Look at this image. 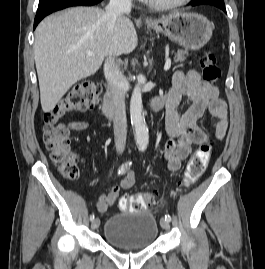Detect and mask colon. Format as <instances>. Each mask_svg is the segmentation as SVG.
<instances>
[{
	"label": "colon",
	"mask_w": 265,
	"mask_h": 269,
	"mask_svg": "<svg viewBox=\"0 0 265 269\" xmlns=\"http://www.w3.org/2000/svg\"><path fill=\"white\" fill-rule=\"evenodd\" d=\"M203 79L216 84L221 77V70L216 57L205 53L200 60ZM100 88L96 82H87L74 87L62 100L44 116L43 140L50 152L51 160L56 163L63 177L75 180L79 176V168L70 149L69 130L61 120L76 111H86L93 108L98 100ZM211 146L202 144L190 158L181 185L184 188L192 186L203 174L209 162ZM156 193L125 195L120 199L123 211L137 212L148 205L155 204Z\"/></svg>",
	"instance_id": "5ec220e1"
}]
</instances>
